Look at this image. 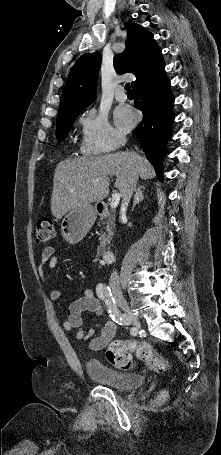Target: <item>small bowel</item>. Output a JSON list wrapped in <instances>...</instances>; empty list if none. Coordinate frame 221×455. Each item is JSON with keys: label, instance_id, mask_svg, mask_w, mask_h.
Instances as JSON below:
<instances>
[{"label": "small bowel", "instance_id": "c3829d8e", "mask_svg": "<svg viewBox=\"0 0 221 455\" xmlns=\"http://www.w3.org/2000/svg\"><path fill=\"white\" fill-rule=\"evenodd\" d=\"M57 263V251L54 247L44 248L39 256L37 265L38 273L43 283L48 288L49 298L58 300L61 292L51 283V277L48 270L53 269ZM84 312H92L98 316L104 315L101 302L95 297L92 289H85L83 295L74 300L68 307L67 317L63 322V328L66 331L73 332L76 340L89 341V347L92 350H100L106 346L116 333V324L111 320H106L101 334L95 336V330L85 331L82 327Z\"/></svg>", "mask_w": 221, "mask_h": 455}]
</instances>
